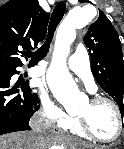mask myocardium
<instances>
[{"label":"myocardium","mask_w":124,"mask_h":149,"mask_svg":"<svg viewBox=\"0 0 124 149\" xmlns=\"http://www.w3.org/2000/svg\"><path fill=\"white\" fill-rule=\"evenodd\" d=\"M89 103L91 105H97V104H103V103L110 105L113 108L116 118H117V121H118V132H117L116 136L112 139L101 138V137L97 136L94 133V131L91 129L87 118L82 115H78L77 121H78L79 127L83 131V133L86 136H88L89 138H91L92 140L100 142V143L109 144V143H114V142L118 141L121 138V136L124 134V115H123L119 105L114 100H112L108 97H103V96H95L90 99Z\"/></svg>","instance_id":"1"}]
</instances>
